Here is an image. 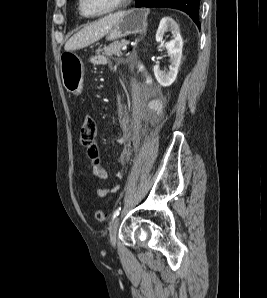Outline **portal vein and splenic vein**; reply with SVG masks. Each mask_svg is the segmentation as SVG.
Returning <instances> with one entry per match:
<instances>
[{
  "mask_svg": "<svg viewBox=\"0 0 267 298\" xmlns=\"http://www.w3.org/2000/svg\"><path fill=\"white\" fill-rule=\"evenodd\" d=\"M127 49V45L125 44L123 47H122V51H125Z\"/></svg>",
  "mask_w": 267,
  "mask_h": 298,
  "instance_id": "obj_1",
  "label": "portal vein and splenic vein"
}]
</instances>
